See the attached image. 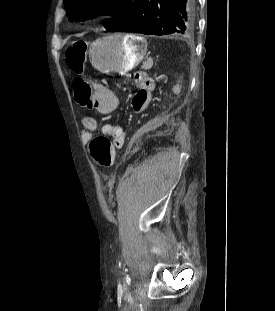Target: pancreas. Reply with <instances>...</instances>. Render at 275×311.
Listing matches in <instances>:
<instances>
[{
  "label": "pancreas",
  "instance_id": "obj_1",
  "mask_svg": "<svg viewBox=\"0 0 275 311\" xmlns=\"http://www.w3.org/2000/svg\"><path fill=\"white\" fill-rule=\"evenodd\" d=\"M146 66H147V61H145V62L143 63L142 68H146Z\"/></svg>",
  "mask_w": 275,
  "mask_h": 311
}]
</instances>
